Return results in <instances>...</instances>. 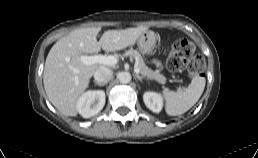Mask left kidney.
Returning <instances> with one entry per match:
<instances>
[{
    "label": "left kidney",
    "instance_id": "left-kidney-1",
    "mask_svg": "<svg viewBox=\"0 0 258 158\" xmlns=\"http://www.w3.org/2000/svg\"><path fill=\"white\" fill-rule=\"evenodd\" d=\"M143 100L147 108L154 113H159L163 108V98L156 92H145L143 95Z\"/></svg>",
    "mask_w": 258,
    "mask_h": 158
}]
</instances>
